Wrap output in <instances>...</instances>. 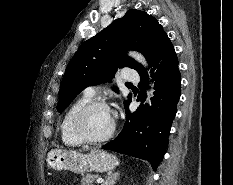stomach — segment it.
<instances>
[{
  "label": "stomach",
  "mask_w": 233,
  "mask_h": 185,
  "mask_svg": "<svg viewBox=\"0 0 233 185\" xmlns=\"http://www.w3.org/2000/svg\"><path fill=\"white\" fill-rule=\"evenodd\" d=\"M48 165L55 170H70L84 174L87 171L105 172L118 165V159L113 154L102 150H92L88 154L76 151L51 150L47 156Z\"/></svg>",
  "instance_id": "stomach-1"
}]
</instances>
